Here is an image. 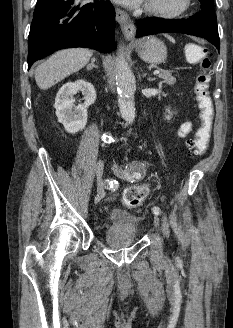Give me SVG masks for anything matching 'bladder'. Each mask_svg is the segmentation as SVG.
<instances>
[{
  "instance_id": "bladder-1",
  "label": "bladder",
  "mask_w": 233,
  "mask_h": 328,
  "mask_svg": "<svg viewBox=\"0 0 233 328\" xmlns=\"http://www.w3.org/2000/svg\"><path fill=\"white\" fill-rule=\"evenodd\" d=\"M109 228L113 231H120L135 240L138 232L139 219L132 213L123 209H113L108 213Z\"/></svg>"
}]
</instances>
